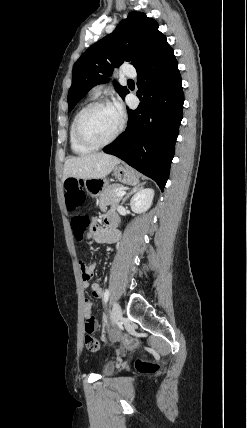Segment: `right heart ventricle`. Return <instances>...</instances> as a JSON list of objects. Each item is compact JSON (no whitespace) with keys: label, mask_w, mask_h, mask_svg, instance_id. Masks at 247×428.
I'll return each mask as SVG.
<instances>
[{"label":"right heart ventricle","mask_w":247,"mask_h":428,"mask_svg":"<svg viewBox=\"0 0 247 428\" xmlns=\"http://www.w3.org/2000/svg\"><path fill=\"white\" fill-rule=\"evenodd\" d=\"M91 103V98H89L84 104H82L74 113L70 128H69V142L72 151L78 155H85L92 152L94 149L82 145L76 138L75 135V122L81 111Z\"/></svg>","instance_id":"right-heart-ventricle-1"}]
</instances>
